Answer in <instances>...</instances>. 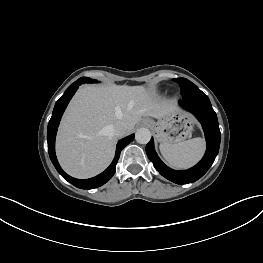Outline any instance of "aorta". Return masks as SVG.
<instances>
[{
    "instance_id": "aorta-1",
    "label": "aorta",
    "mask_w": 263,
    "mask_h": 263,
    "mask_svg": "<svg viewBox=\"0 0 263 263\" xmlns=\"http://www.w3.org/2000/svg\"><path fill=\"white\" fill-rule=\"evenodd\" d=\"M135 139L140 144H147L151 139V132L147 128H139L135 133Z\"/></svg>"
}]
</instances>
